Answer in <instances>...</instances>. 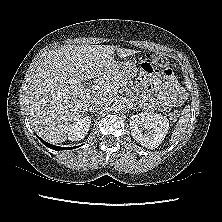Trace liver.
Listing matches in <instances>:
<instances>
[{"instance_id": "1", "label": "liver", "mask_w": 222, "mask_h": 222, "mask_svg": "<svg viewBox=\"0 0 222 222\" xmlns=\"http://www.w3.org/2000/svg\"><path fill=\"white\" fill-rule=\"evenodd\" d=\"M115 51L121 59L137 53L111 45H66L48 53L35 70L25 100L30 124L40 137L54 144L67 139L95 95L83 82L119 73Z\"/></svg>"}]
</instances>
